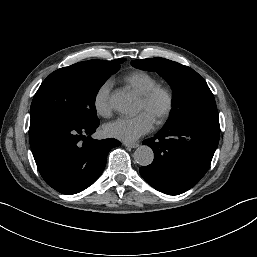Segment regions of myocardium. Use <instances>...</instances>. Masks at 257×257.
Instances as JSON below:
<instances>
[{"label": "myocardium", "instance_id": "1", "mask_svg": "<svg viewBox=\"0 0 257 257\" xmlns=\"http://www.w3.org/2000/svg\"><path fill=\"white\" fill-rule=\"evenodd\" d=\"M160 96L165 99V108L157 118L156 122L158 124H163L171 116L174 109V96L172 91L166 86L156 85L148 92L141 95L140 100L144 104L148 105L154 102Z\"/></svg>", "mask_w": 257, "mask_h": 257}]
</instances>
